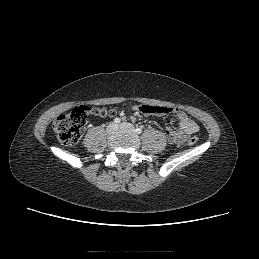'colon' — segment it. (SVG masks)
<instances>
[{
	"instance_id": "obj_1",
	"label": "colon",
	"mask_w": 259,
	"mask_h": 259,
	"mask_svg": "<svg viewBox=\"0 0 259 259\" xmlns=\"http://www.w3.org/2000/svg\"><path fill=\"white\" fill-rule=\"evenodd\" d=\"M92 114L104 118L114 115L115 111L105 107L90 108L88 106H79L69 113L59 115L53 124L59 142L65 146L75 145L80 139L82 128ZM197 142V136H192L188 139L189 145H195Z\"/></svg>"
}]
</instances>
